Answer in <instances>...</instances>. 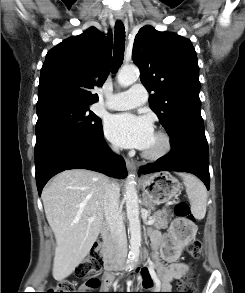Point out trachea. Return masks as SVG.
Returning a JSON list of instances; mask_svg holds the SVG:
<instances>
[{
    "label": "trachea",
    "mask_w": 245,
    "mask_h": 293,
    "mask_svg": "<svg viewBox=\"0 0 245 293\" xmlns=\"http://www.w3.org/2000/svg\"><path fill=\"white\" fill-rule=\"evenodd\" d=\"M125 49V27L122 21L115 23L114 51H113V72L116 73L123 63Z\"/></svg>",
    "instance_id": "1"
}]
</instances>
